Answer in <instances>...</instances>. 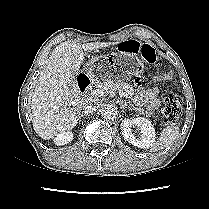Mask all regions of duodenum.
<instances>
[{
    "label": "duodenum",
    "mask_w": 209,
    "mask_h": 209,
    "mask_svg": "<svg viewBox=\"0 0 209 209\" xmlns=\"http://www.w3.org/2000/svg\"><path fill=\"white\" fill-rule=\"evenodd\" d=\"M74 81L80 92H86L91 85V80L83 74L76 75Z\"/></svg>",
    "instance_id": "duodenum-1"
}]
</instances>
